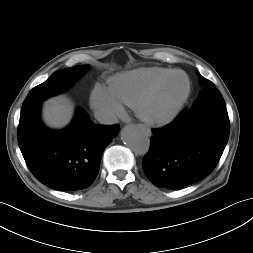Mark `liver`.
<instances>
[{
	"label": "liver",
	"instance_id": "obj_1",
	"mask_svg": "<svg viewBox=\"0 0 253 253\" xmlns=\"http://www.w3.org/2000/svg\"><path fill=\"white\" fill-rule=\"evenodd\" d=\"M72 105L65 98H54L46 102L44 108V121L54 128L64 127L72 117Z\"/></svg>",
	"mask_w": 253,
	"mask_h": 253
}]
</instances>
